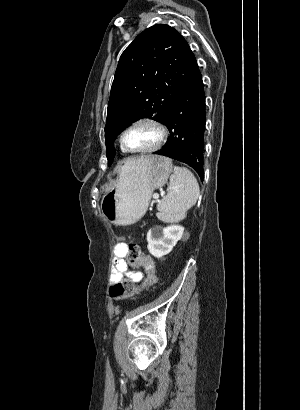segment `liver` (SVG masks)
I'll use <instances>...</instances> for the list:
<instances>
[{
  "instance_id": "liver-1",
  "label": "liver",
  "mask_w": 300,
  "mask_h": 410,
  "mask_svg": "<svg viewBox=\"0 0 300 410\" xmlns=\"http://www.w3.org/2000/svg\"><path fill=\"white\" fill-rule=\"evenodd\" d=\"M146 158H147V156L130 158L126 161L125 165H126V167H134V166L139 165L140 163H142Z\"/></svg>"
}]
</instances>
